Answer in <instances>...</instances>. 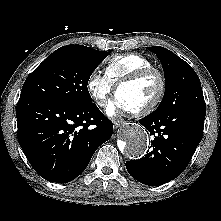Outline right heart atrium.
<instances>
[{
  "label": "right heart atrium",
  "instance_id": "obj_1",
  "mask_svg": "<svg viewBox=\"0 0 221 221\" xmlns=\"http://www.w3.org/2000/svg\"><path fill=\"white\" fill-rule=\"evenodd\" d=\"M90 96L100 107L106 106L110 94L113 92L114 85L109 78L98 71H93L86 82Z\"/></svg>",
  "mask_w": 221,
  "mask_h": 221
}]
</instances>
